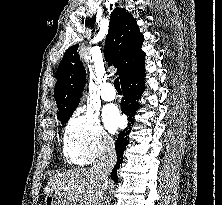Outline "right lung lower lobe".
Listing matches in <instances>:
<instances>
[{"mask_svg": "<svg viewBox=\"0 0 222 205\" xmlns=\"http://www.w3.org/2000/svg\"><path fill=\"white\" fill-rule=\"evenodd\" d=\"M144 76L145 68L141 69L137 73L127 77L124 81L121 82L123 99L121 100V108L124 114L129 117V125L134 123L132 117L135 114V111L139 108V104L136 100L139 99L141 92L144 91ZM129 133L130 128H126L121 131L116 140V155L117 163L111 173V178L118 182L117 169L123 161V152L126 148V145L129 143Z\"/></svg>", "mask_w": 222, "mask_h": 205, "instance_id": "98d812e1", "label": "right lung lower lobe"}]
</instances>
